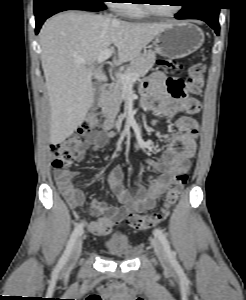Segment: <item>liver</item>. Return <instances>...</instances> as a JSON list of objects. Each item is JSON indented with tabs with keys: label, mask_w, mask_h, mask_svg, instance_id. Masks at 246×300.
I'll use <instances>...</instances> for the list:
<instances>
[{
	"label": "liver",
	"mask_w": 246,
	"mask_h": 300,
	"mask_svg": "<svg viewBox=\"0 0 246 300\" xmlns=\"http://www.w3.org/2000/svg\"><path fill=\"white\" fill-rule=\"evenodd\" d=\"M168 25L130 23L76 11L46 21L39 41L50 102V142L61 143L82 124L94 100L92 77L106 81L95 66L102 52L116 48L115 65L131 61Z\"/></svg>",
	"instance_id": "obj_1"
}]
</instances>
